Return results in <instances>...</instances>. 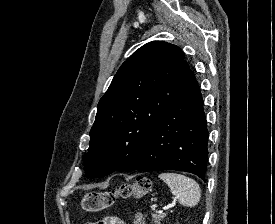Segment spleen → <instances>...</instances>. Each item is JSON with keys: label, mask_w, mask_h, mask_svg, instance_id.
Segmentation results:
<instances>
[{"label": "spleen", "mask_w": 275, "mask_h": 224, "mask_svg": "<svg viewBox=\"0 0 275 224\" xmlns=\"http://www.w3.org/2000/svg\"><path fill=\"white\" fill-rule=\"evenodd\" d=\"M159 178L170 187L181 205L194 207L199 203L201 191L195 180L177 173H161Z\"/></svg>", "instance_id": "3e777b00"}]
</instances>
